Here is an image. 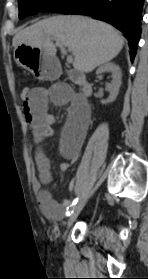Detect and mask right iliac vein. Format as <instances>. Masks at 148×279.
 <instances>
[{
  "mask_svg": "<svg viewBox=\"0 0 148 279\" xmlns=\"http://www.w3.org/2000/svg\"><path fill=\"white\" fill-rule=\"evenodd\" d=\"M87 202V198L84 197L82 198L78 204L74 207L73 212L71 213L68 222H67V228H69L74 221L76 220V218L78 217L79 213L81 212V210L84 208L85 204Z\"/></svg>",
  "mask_w": 148,
  "mask_h": 279,
  "instance_id": "obj_1",
  "label": "right iliac vein"
}]
</instances>
